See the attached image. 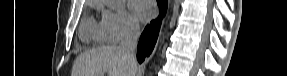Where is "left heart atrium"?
I'll return each instance as SVG.
<instances>
[{
  "label": "left heart atrium",
  "instance_id": "left-heart-atrium-1",
  "mask_svg": "<svg viewBox=\"0 0 287 76\" xmlns=\"http://www.w3.org/2000/svg\"><path fill=\"white\" fill-rule=\"evenodd\" d=\"M131 9L140 20H148L155 15L156 8L151 0H132Z\"/></svg>",
  "mask_w": 287,
  "mask_h": 76
}]
</instances>
